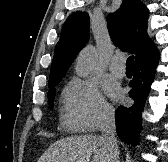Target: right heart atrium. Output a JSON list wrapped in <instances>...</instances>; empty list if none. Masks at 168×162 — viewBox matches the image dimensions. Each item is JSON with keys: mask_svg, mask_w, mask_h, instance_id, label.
<instances>
[{"mask_svg": "<svg viewBox=\"0 0 168 162\" xmlns=\"http://www.w3.org/2000/svg\"><path fill=\"white\" fill-rule=\"evenodd\" d=\"M114 118L113 107L102 96L97 83L73 78L65 88L63 122L78 132H93Z\"/></svg>", "mask_w": 168, "mask_h": 162, "instance_id": "obj_1", "label": "right heart atrium"}]
</instances>
